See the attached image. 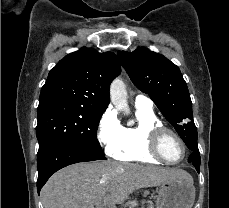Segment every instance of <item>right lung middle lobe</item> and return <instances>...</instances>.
<instances>
[{
	"instance_id": "obj_1",
	"label": "right lung middle lobe",
	"mask_w": 229,
	"mask_h": 208,
	"mask_svg": "<svg viewBox=\"0 0 229 208\" xmlns=\"http://www.w3.org/2000/svg\"><path fill=\"white\" fill-rule=\"evenodd\" d=\"M101 114L72 101L50 100L39 103L36 127L38 155L66 142L102 152L96 135Z\"/></svg>"
}]
</instances>
